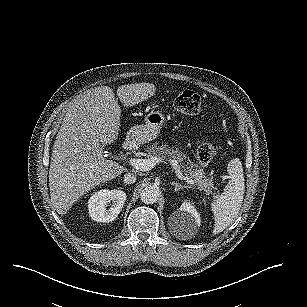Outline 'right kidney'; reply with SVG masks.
Returning a JSON list of instances; mask_svg holds the SVG:
<instances>
[{
	"label": "right kidney",
	"instance_id": "obj_1",
	"mask_svg": "<svg viewBox=\"0 0 307 307\" xmlns=\"http://www.w3.org/2000/svg\"><path fill=\"white\" fill-rule=\"evenodd\" d=\"M126 198V193L121 189H102L95 192L88 200L90 218L103 223L114 221L121 212ZM109 203L111 207L107 209Z\"/></svg>",
	"mask_w": 307,
	"mask_h": 307
}]
</instances>
